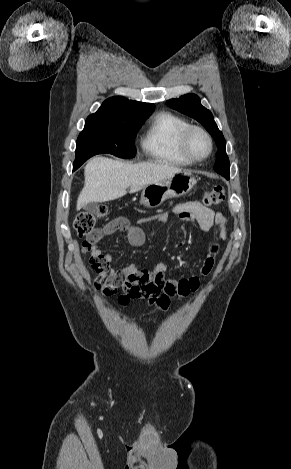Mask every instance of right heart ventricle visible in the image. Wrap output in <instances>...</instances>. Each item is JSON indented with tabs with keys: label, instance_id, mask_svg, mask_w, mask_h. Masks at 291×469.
<instances>
[{
	"label": "right heart ventricle",
	"instance_id": "right-heart-ventricle-1",
	"mask_svg": "<svg viewBox=\"0 0 291 469\" xmlns=\"http://www.w3.org/2000/svg\"><path fill=\"white\" fill-rule=\"evenodd\" d=\"M184 118L162 111L149 121L142 137L141 146L147 158L173 166H189L192 162L186 159L179 147L181 132L189 126Z\"/></svg>",
	"mask_w": 291,
	"mask_h": 469
}]
</instances>
